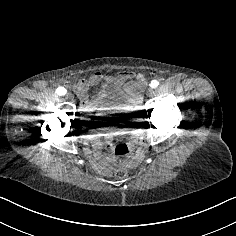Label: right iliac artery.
<instances>
[{"label":"right iliac artery","instance_id":"1","mask_svg":"<svg viewBox=\"0 0 236 236\" xmlns=\"http://www.w3.org/2000/svg\"><path fill=\"white\" fill-rule=\"evenodd\" d=\"M66 92H67V90H66L64 87H58V88L56 89V93H57L58 95H60V96L65 95Z\"/></svg>","mask_w":236,"mask_h":236}]
</instances>
